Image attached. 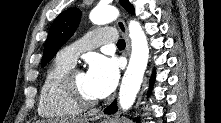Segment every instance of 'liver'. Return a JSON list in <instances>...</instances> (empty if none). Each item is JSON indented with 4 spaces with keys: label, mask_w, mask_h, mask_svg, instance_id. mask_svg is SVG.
Segmentation results:
<instances>
[{
    "label": "liver",
    "mask_w": 221,
    "mask_h": 123,
    "mask_svg": "<svg viewBox=\"0 0 221 123\" xmlns=\"http://www.w3.org/2000/svg\"><path fill=\"white\" fill-rule=\"evenodd\" d=\"M36 123H44V122L37 121ZM71 123H86V122L83 120L74 119V120H71Z\"/></svg>",
    "instance_id": "liver-1"
}]
</instances>
